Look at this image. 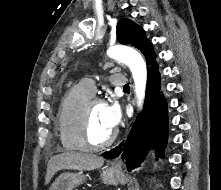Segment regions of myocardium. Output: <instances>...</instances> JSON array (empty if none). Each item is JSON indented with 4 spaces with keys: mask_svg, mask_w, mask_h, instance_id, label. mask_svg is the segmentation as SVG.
I'll use <instances>...</instances> for the list:
<instances>
[{
    "mask_svg": "<svg viewBox=\"0 0 221 190\" xmlns=\"http://www.w3.org/2000/svg\"><path fill=\"white\" fill-rule=\"evenodd\" d=\"M97 104H104V101L97 97H92L86 101L81 108L78 120V138L82 148L88 151H98L105 149L111 146L117 137L116 131H113L106 140L100 143H93L91 141L89 136L90 114L92 108Z\"/></svg>",
    "mask_w": 221,
    "mask_h": 190,
    "instance_id": "myocardium-1",
    "label": "myocardium"
}]
</instances>
